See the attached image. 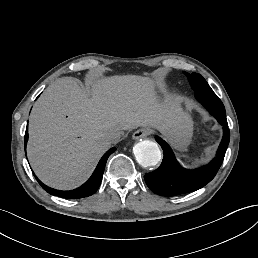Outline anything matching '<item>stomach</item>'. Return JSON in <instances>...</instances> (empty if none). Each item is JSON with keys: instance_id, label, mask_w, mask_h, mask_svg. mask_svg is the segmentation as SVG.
<instances>
[{"instance_id": "stomach-1", "label": "stomach", "mask_w": 258, "mask_h": 258, "mask_svg": "<svg viewBox=\"0 0 258 258\" xmlns=\"http://www.w3.org/2000/svg\"><path fill=\"white\" fill-rule=\"evenodd\" d=\"M151 131V128H149ZM194 132V122L191 114L184 110L183 116L181 120L180 127L177 133L171 137L173 141H175L180 146H187L190 144Z\"/></svg>"}]
</instances>
